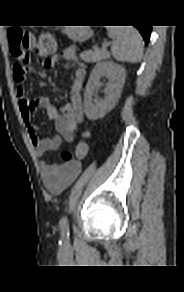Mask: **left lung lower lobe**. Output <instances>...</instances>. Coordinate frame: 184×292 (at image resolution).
<instances>
[{"label":"left lung lower lobe","mask_w":184,"mask_h":292,"mask_svg":"<svg viewBox=\"0 0 184 292\" xmlns=\"http://www.w3.org/2000/svg\"><path fill=\"white\" fill-rule=\"evenodd\" d=\"M135 27L140 31L145 40V44L147 45L150 37L151 26L136 25Z\"/></svg>","instance_id":"1"}]
</instances>
